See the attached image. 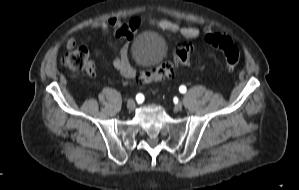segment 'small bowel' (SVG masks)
Here are the masks:
<instances>
[{
	"instance_id": "obj_1",
	"label": "small bowel",
	"mask_w": 299,
	"mask_h": 190,
	"mask_svg": "<svg viewBox=\"0 0 299 190\" xmlns=\"http://www.w3.org/2000/svg\"><path fill=\"white\" fill-rule=\"evenodd\" d=\"M150 23L153 25L182 35L185 38H197L201 31L193 24H181L179 21H171L167 19H152ZM140 25V19L135 17L125 20L119 17H110L107 20L100 21L97 24V29L103 34L108 35L112 33L114 37L125 41L120 49L117 50L116 56L113 60V65L119 74L125 78H133L135 76V67L129 59L128 44L133 40L134 33ZM76 45L74 39H68L66 46L71 48ZM87 73L90 77H95V67L93 62H89L87 66Z\"/></svg>"
}]
</instances>
